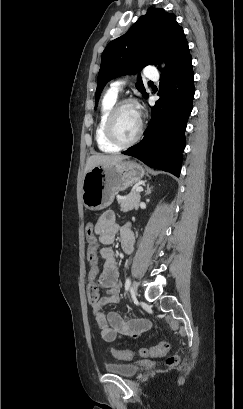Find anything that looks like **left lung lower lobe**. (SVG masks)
Here are the masks:
<instances>
[{
    "mask_svg": "<svg viewBox=\"0 0 243 409\" xmlns=\"http://www.w3.org/2000/svg\"><path fill=\"white\" fill-rule=\"evenodd\" d=\"M163 97L161 124L157 101L151 110V121L145 137L138 144L122 152L138 158L146 165L179 177L182 152L185 148V129L192 111L194 73L188 43H185L161 74Z\"/></svg>",
    "mask_w": 243,
    "mask_h": 409,
    "instance_id": "0a47b994",
    "label": "left lung lower lobe"
}]
</instances>
